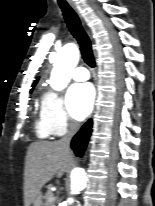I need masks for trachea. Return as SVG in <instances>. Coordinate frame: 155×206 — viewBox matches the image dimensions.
I'll return each instance as SVG.
<instances>
[{"mask_svg":"<svg viewBox=\"0 0 155 206\" xmlns=\"http://www.w3.org/2000/svg\"><path fill=\"white\" fill-rule=\"evenodd\" d=\"M59 6L70 32L78 41L83 60L90 67H95L91 43L81 26L79 17L66 1H60Z\"/></svg>","mask_w":155,"mask_h":206,"instance_id":"1","label":"trachea"}]
</instances>
